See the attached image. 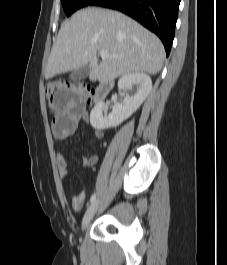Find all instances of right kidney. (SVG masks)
I'll return each mask as SVG.
<instances>
[{
	"mask_svg": "<svg viewBox=\"0 0 227 265\" xmlns=\"http://www.w3.org/2000/svg\"><path fill=\"white\" fill-rule=\"evenodd\" d=\"M137 86L134 96L126 95L122 103H116L112 112L103 116L107 106L103 102L97 103L90 113V124L96 130H104L116 127L129 118L144 102L152 89L151 78L142 72H132L123 75L118 81V87L122 90Z\"/></svg>",
	"mask_w": 227,
	"mask_h": 265,
	"instance_id": "right-kidney-1",
	"label": "right kidney"
}]
</instances>
